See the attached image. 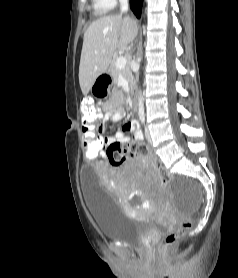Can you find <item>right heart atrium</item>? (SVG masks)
Returning <instances> with one entry per match:
<instances>
[{"label": "right heart atrium", "instance_id": "1", "mask_svg": "<svg viewBox=\"0 0 238 278\" xmlns=\"http://www.w3.org/2000/svg\"><path fill=\"white\" fill-rule=\"evenodd\" d=\"M113 2V4L115 5L117 1L119 0H111Z\"/></svg>", "mask_w": 238, "mask_h": 278}]
</instances>
